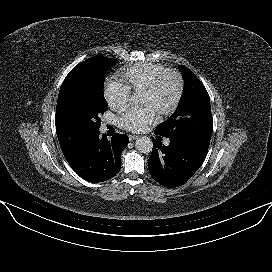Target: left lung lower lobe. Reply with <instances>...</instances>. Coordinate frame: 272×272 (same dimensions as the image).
I'll return each mask as SVG.
<instances>
[{
    "label": "left lung lower lobe",
    "mask_w": 272,
    "mask_h": 272,
    "mask_svg": "<svg viewBox=\"0 0 272 272\" xmlns=\"http://www.w3.org/2000/svg\"><path fill=\"white\" fill-rule=\"evenodd\" d=\"M153 149L148 160L149 172L159 184L174 188L186 183L204 162L210 142L189 138H170L169 146L161 143L155 131Z\"/></svg>",
    "instance_id": "0a47b994"
}]
</instances>
